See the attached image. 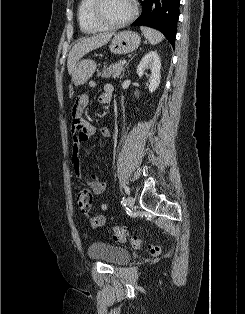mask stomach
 Listing matches in <instances>:
<instances>
[{
  "label": "stomach",
  "mask_w": 245,
  "mask_h": 314,
  "mask_svg": "<svg viewBox=\"0 0 245 314\" xmlns=\"http://www.w3.org/2000/svg\"><path fill=\"white\" fill-rule=\"evenodd\" d=\"M141 38L134 31H122L114 35L109 45L110 51L114 54H126L134 51L140 45ZM97 65L93 60H82L79 62L73 73L72 80L76 86L85 84L96 71Z\"/></svg>",
  "instance_id": "0dacf381"
}]
</instances>
